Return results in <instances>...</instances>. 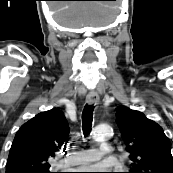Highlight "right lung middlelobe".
Returning a JSON list of instances; mask_svg holds the SVG:
<instances>
[{
    "label": "right lung middle lobe",
    "instance_id": "1",
    "mask_svg": "<svg viewBox=\"0 0 173 173\" xmlns=\"http://www.w3.org/2000/svg\"><path fill=\"white\" fill-rule=\"evenodd\" d=\"M32 173H51L49 171V168L46 169H41V170H36V171H31Z\"/></svg>",
    "mask_w": 173,
    "mask_h": 173
}]
</instances>
